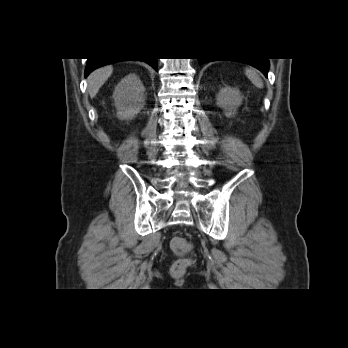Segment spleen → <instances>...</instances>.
<instances>
[{"label":"spleen","instance_id":"1","mask_svg":"<svg viewBox=\"0 0 348 348\" xmlns=\"http://www.w3.org/2000/svg\"><path fill=\"white\" fill-rule=\"evenodd\" d=\"M245 74L248 79L255 85L257 88H263V81L253 68H246Z\"/></svg>","mask_w":348,"mask_h":348}]
</instances>
